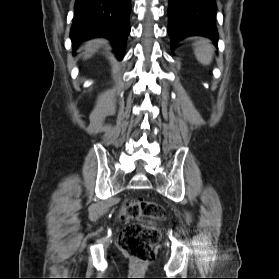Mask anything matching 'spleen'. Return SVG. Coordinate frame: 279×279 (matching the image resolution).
I'll list each match as a JSON object with an SVG mask.
<instances>
[{
	"label": "spleen",
	"instance_id": "obj_1",
	"mask_svg": "<svg viewBox=\"0 0 279 279\" xmlns=\"http://www.w3.org/2000/svg\"><path fill=\"white\" fill-rule=\"evenodd\" d=\"M196 59L203 65H209L215 52V48L209 39L200 38L194 44Z\"/></svg>",
	"mask_w": 279,
	"mask_h": 279
}]
</instances>
